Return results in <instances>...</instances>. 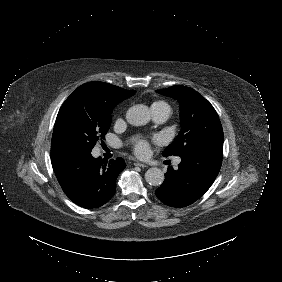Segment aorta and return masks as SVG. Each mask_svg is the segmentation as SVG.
I'll use <instances>...</instances> for the list:
<instances>
[{
    "label": "aorta",
    "instance_id": "obj_1",
    "mask_svg": "<svg viewBox=\"0 0 282 282\" xmlns=\"http://www.w3.org/2000/svg\"><path fill=\"white\" fill-rule=\"evenodd\" d=\"M150 111L146 105L137 104L126 112V120L133 126H143L150 121ZM145 180L151 186H159L164 181V173L157 167L149 168L145 173Z\"/></svg>",
    "mask_w": 282,
    "mask_h": 282
}]
</instances>
